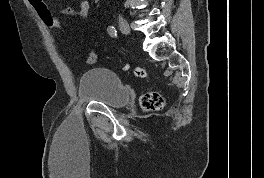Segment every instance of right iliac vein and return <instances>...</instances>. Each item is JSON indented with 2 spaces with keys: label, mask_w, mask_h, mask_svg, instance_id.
Listing matches in <instances>:
<instances>
[{
  "label": "right iliac vein",
  "mask_w": 264,
  "mask_h": 178,
  "mask_svg": "<svg viewBox=\"0 0 264 178\" xmlns=\"http://www.w3.org/2000/svg\"><path fill=\"white\" fill-rule=\"evenodd\" d=\"M119 27L123 34L130 35L131 30H130L129 24L126 21V19L121 15L119 16Z\"/></svg>",
  "instance_id": "1"
}]
</instances>
